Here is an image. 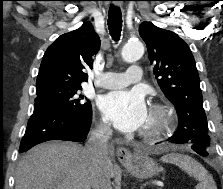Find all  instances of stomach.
<instances>
[{"label": "stomach", "mask_w": 223, "mask_h": 189, "mask_svg": "<svg viewBox=\"0 0 223 189\" xmlns=\"http://www.w3.org/2000/svg\"><path fill=\"white\" fill-rule=\"evenodd\" d=\"M127 170L135 177L148 179L162 171V168L151 158L136 154L132 162L123 163Z\"/></svg>", "instance_id": "1"}]
</instances>
